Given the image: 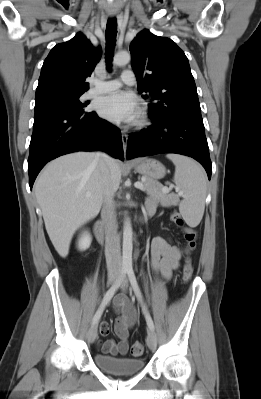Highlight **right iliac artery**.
<instances>
[{"mask_svg": "<svg viewBox=\"0 0 261 399\" xmlns=\"http://www.w3.org/2000/svg\"><path fill=\"white\" fill-rule=\"evenodd\" d=\"M126 272H127V269L123 268L121 270V273H120L117 281L110 287V289L104 295V298H103L98 310L96 311V313H95V315H94V317L92 319V324L93 325L97 324L98 321L100 320L101 315H102L105 307L109 304V302L111 301L112 297L117 292V290H118L120 284L122 283L123 279L125 278Z\"/></svg>", "mask_w": 261, "mask_h": 399, "instance_id": "82829eb1", "label": "right iliac artery"}]
</instances>
